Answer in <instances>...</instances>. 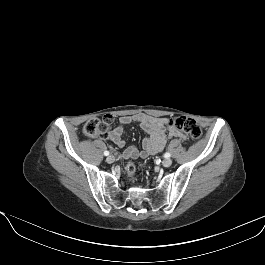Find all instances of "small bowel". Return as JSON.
Segmentation results:
<instances>
[{"mask_svg":"<svg viewBox=\"0 0 265 265\" xmlns=\"http://www.w3.org/2000/svg\"><path fill=\"white\" fill-rule=\"evenodd\" d=\"M130 123H137L148 136L142 142V149L135 146L127 147L123 152L126 159L145 158L163 150L169 138H178L183 141L188 139L187 135L179 129L170 125L166 117L151 116L145 113L124 115L119 118L118 125L105 134V137L118 147L125 146L124 126Z\"/></svg>","mask_w":265,"mask_h":265,"instance_id":"obj_1","label":"small bowel"}]
</instances>
